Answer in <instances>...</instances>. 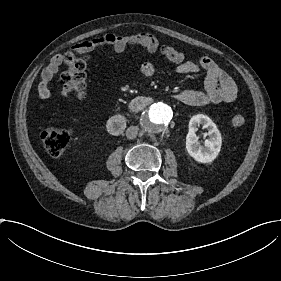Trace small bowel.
<instances>
[{"label":"small bowel","instance_id":"obj_1","mask_svg":"<svg viewBox=\"0 0 281 281\" xmlns=\"http://www.w3.org/2000/svg\"><path fill=\"white\" fill-rule=\"evenodd\" d=\"M102 43L111 47L115 52H124L130 47H143L150 53L161 50L171 62L175 64V74L196 73L200 69L207 74L205 86L199 90H180L175 93L174 98L177 102L189 105H213L220 102L231 103L238 97L236 85L233 79L220 68L211 58L200 56L196 62L185 60L183 52L170 47H160L158 39L150 32H131V33H109L102 38ZM80 46L67 54H56L53 56L47 67L41 73V83L39 86V96L43 100L50 99L52 92L49 84L57 74L66 58H74L80 54ZM141 73L153 78L158 73V67L152 62H145L141 65ZM70 88L65 87L61 90V97L65 98L70 93ZM74 124H79L80 119L73 117Z\"/></svg>","mask_w":281,"mask_h":281}]
</instances>
